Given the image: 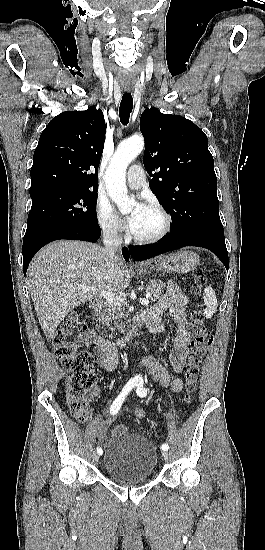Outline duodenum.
<instances>
[{
  "label": "duodenum",
  "mask_w": 265,
  "mask_h": 550,
  "mask_svg": "<svg viewBox=\"0 0 265 550\" xmlns=\"http://www.w3.org/2000/svg\"><path fill=\"white\" fill-rule=\"evenodd\" d=\"M100 307H101V302L99 300H94L89 305V309L94 313L98 312ZM141 328H142V323L141 321H138L136 325L133 327V329H131L126 334L122 335L117 339L116 342L118 347L127 348L130 345H132L140 335Z\"/></svg>",
  "instance_id": "1"
}]
</instances>
